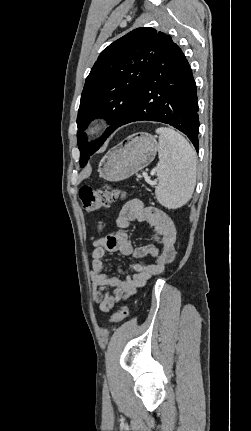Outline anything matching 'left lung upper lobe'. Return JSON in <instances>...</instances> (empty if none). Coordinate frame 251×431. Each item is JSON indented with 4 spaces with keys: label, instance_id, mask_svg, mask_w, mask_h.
<instances>
[{
    "label": "left lung upper lobe",
    "instance_id": "obj_1",
    "mask_svg": "<svg viewBox=\"0 0 251 431\" xmlns=\"http://www.w3.org/2000/svg\"><path fill=\"white\" fill-rule=\"evenodd\" d=\"M168 37L153 28H137L101 52L86 78L78 110L81 167L126 118ZM96 117H105L110 127L89 143L83 131Z\"/></svg>",
    "mask_w": 251,
    "mask_h": 431
}]
</instances>
